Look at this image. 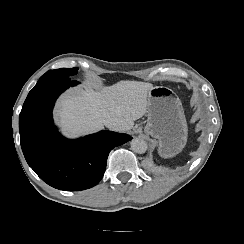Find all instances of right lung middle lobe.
Returning <instances> with one entry per match:
<instances>
[{"instance_id":"right-lung-middle-lobe-1","label":"right lung middle lobe","mask_w":244,"mask_h":244,"mask_svg":"<svg viewBox=\"0 0 244 244\" xmlns=\"http://www.w3.org/2000/svg\"><path fill=\"white\" fill-rule=\"evenodd\" d=\"M78 68H71V69H56V70H49L40 79H44L46 77H59V76H72L77 73Z\"/></svg>"}]
</instances>
